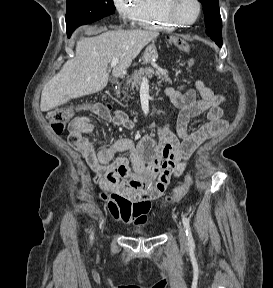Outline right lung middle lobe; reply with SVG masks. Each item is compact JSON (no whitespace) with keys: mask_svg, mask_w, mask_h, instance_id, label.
Here are the masks:
<instances>
[{"mask_svg":"<svg viewBox=\"0 0 273 288\" xmlns=\"http://www.w3.org/2000/svg\"><path fill=\"white\" fill-rule=\"evenodd\" d=\"M114 12L113 0H67V33L71 35L76 27L92 23Z\"/></svg>","mask_w":273,"mask_h":288,"instance_id":"1","label":"right lung middle lobe"}]
</instances>
